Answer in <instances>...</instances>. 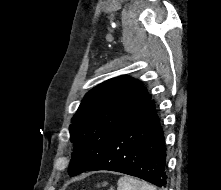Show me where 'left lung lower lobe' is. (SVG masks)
I'll list each match as a JSON object with an SVG mask.
<instances>
[{
    "label": "left lung lower lobe",
    "mask_w": 221,
    "mask_h": 190,
    "mask_svg": "<svg viewBox=\"0 0 221 190\" xmlns=\"http://www.w3.org/2000/svg\"><path fill=\"white\" fill-rule=\"evenodd\" d=\"M166 146L154 100L128 119L88 169L133 175L166 185Z\"/></svg>",
    "instance_id": "left-lung-lower-lobe-1"
}]
</instances>
